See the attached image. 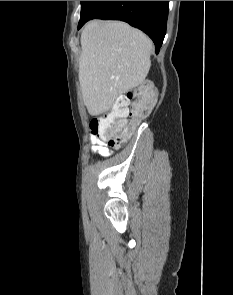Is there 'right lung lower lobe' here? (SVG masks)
Listing matches in <instances>:
<instances>
[{
  "mask_svg": "<svg viewBox=\"0 0 233 295\" xmlns=\"http://www.w3.org/2000/svg\"><path fill=\"white\" fill-rule=\"evenodd\" d=\"M168 9L169 1H90L78 29L94 18L122 20L145 32L158 53L166 34Z\"/></svg>",
  "mask_w": 233,
  "mask_h": 295,
  "instance_id": "98d812e1",
  "label": "right lung lower lobe"
}]
</instances>
